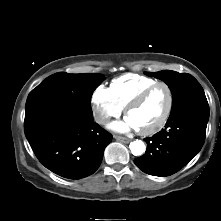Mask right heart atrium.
Instances as JSON below:
<instances>
[{
    "instance_id": "1",
    "label": "right heart atrium",
    "mask_w": 221,
    "mask_h": 221,
    "mask_svg": "<svg viewBox=\"0 0 221 221\" xmlns=\"http://www.w3.org/2000/svg\"><path fill=\"white\" fill-rule=\"evenodd\" d=\"M92 112L95 121L100 125L107 124L111 118L119 117L122 108L115 101L110 88L98 85L91 97Z\"/></svg>"
}]
</instances>
